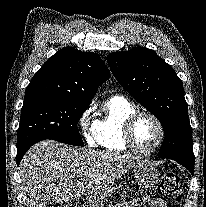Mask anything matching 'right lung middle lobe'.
<instances>
[{"mask_svg":"<svg viewBox=\"0 0 206 207\" xmlns=\"http://www.w3.org/2000/svg\"><path fill=\"white\" fill-rule=\"evenodd\" d=\"M87 103L54 97L24 101L18 128L17 151L27 150L44 139L84 146L77 123Z\"/></svg>","mask_w":206,"mask_h":207,"instance_id":"right-lung-middle-lobe-1","label":"right lung middle lobe"}]
</instances>
